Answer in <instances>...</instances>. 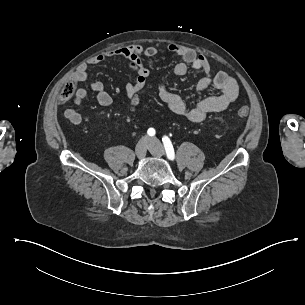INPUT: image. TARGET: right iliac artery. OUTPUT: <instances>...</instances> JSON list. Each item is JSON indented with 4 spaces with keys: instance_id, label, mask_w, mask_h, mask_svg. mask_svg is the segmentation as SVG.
<instances>
[{
    "instance_id": "1",
    "label": "right iliac artery",
    "mask_w": 305,
    "mask_h": 305,
    "mask_svg": "<svg viewBox=\"0 0 305 305\" xmlns=\"http://www.w3.org/2000/svg\"><path fill=\"white\" fill-rule=\"evenodd\" d=\"M149 136H154L155 135V129L154 128H149L147 131Z\"/></svg>"
}]
</instances>
